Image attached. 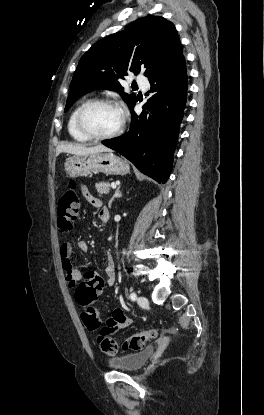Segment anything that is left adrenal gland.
Returning a JSON list of instances; mask_svg holds the SVG:
<instances>
[{"mask_svg":"<svg viewBox=\"0 0 264 415\" xmlns=\"http://www.w3.org/2000/svg\"><path fill=\"white\" fill-rule=\"evenodd\" d=\"M120 187H121V185L118 186V188L116 189L114 195L109 200L108 205H109L110 208H111V204L114 201V199L115 198H120L122 196V192L120 191Z\"/></svg>","mask_w":264,"mask_h":415,"instance_id":"a2214340","label":"left adrenal gland"}]
</instances>
